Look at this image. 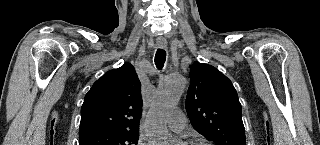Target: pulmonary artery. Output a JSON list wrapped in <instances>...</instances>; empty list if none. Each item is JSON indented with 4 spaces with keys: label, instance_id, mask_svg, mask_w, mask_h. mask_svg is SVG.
Segmentation results:
<instances>
[{
    "label": "pulmonary artery",
    "instance_id": "obj_1",
    "mask_svg": "<svg viewBox=\"0 0 320 145\" xmlns=\"http://www.w3.org/2000/svg\"><path fill=\"white\" fill-rule=\"evenodd\" d=\"M167 123L170 129L182 133L187 126V119L181 110H176L168 117Z\"/></svg>",
    "mask_w": 320,
    "mask_h": 145
}]
</instances>
